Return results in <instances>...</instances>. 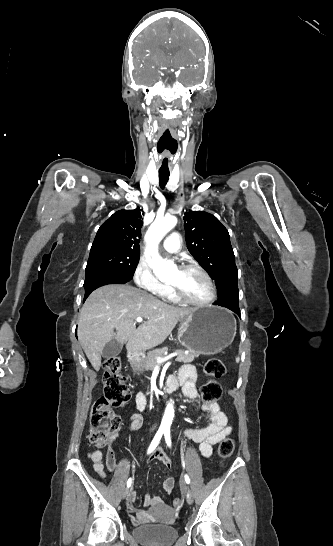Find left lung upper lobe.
<instances>
[{
	"instance_id": "obj_1",
	"label": "left lung upper lobe",
	"mask_w": 333,
	"mask_h": 546,
	"mask_svg": "<svg viewBox=\"0 0 333 546\" xmlns=\"http://www.w3.org/2000/svg\"><path fill=\"white\" fill-rule=\"evenodd\" d=\"M187 248L209 273L218 290V300L238 289V270L227 229L210 213L190 211L184 216Z\"/></svg>"
}]
</instances>
